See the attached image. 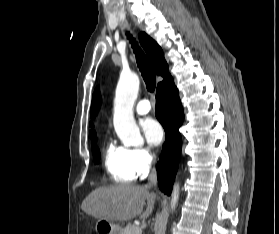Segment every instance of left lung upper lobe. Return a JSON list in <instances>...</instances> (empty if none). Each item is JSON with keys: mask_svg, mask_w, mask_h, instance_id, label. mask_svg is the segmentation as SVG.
<instances>
[{"mask_svg": "<svg viewBox=\"0 0 279 234\" xmlns=\"http://www.w3.org/2000/svg\"><path fill=\"white\" fill-rule=\"evenodd\" d=\"M100 103H101L100 94H99V91L96 90L94 92L93 98H92L91 111H90L91 116L95 115V113L97 112V110L100 106Z\"/></svg>", "mask_w": 279, "mask_h": 234, "instance_id": "obj_1", "label": "left lung upper lobe"}]
</instances>
